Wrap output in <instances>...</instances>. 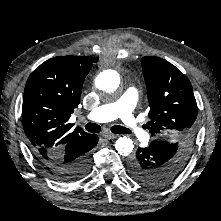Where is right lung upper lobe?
I'll return each mask as SVG.
<instances>
[{
  "mask_svg": "<svg viewBox=\"0 0 221 221\" xmlns=\"http://www.w3.org/2000/svg\"><path fill=\"white\" fill-rule=\"evenodd\" d=\"M98 58L58 56L42 63L27 80L23 127L34 155L84 147L92 134L68 122L80 103L84 79Z\"/></svg>",
  "mask_w": 221,
  "mask_h": 221,
  "instance_id": "obj_1",
  "label": "right lung upper lobe"
}]
</instances>
